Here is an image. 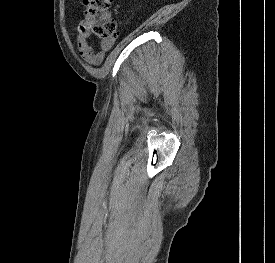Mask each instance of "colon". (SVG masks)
Instances as JSON below:
<instances>
[{
  "instance_id": "colon-1",
  "label": "colon",
  "mask_w": 275,
  "mask_h": 263,
  "mask_svg": "<svg viewBox=\"0 0 275 263\" xmlns=\"http://www.w3.org/2000/svg\"><path fill=\"white\" fill-rule=\"evenodd\" d=\"M82 25L85 31L102 42L114 41L119 32L108 11L113 0H83Z\"/></svg>"
}]
</instances>
